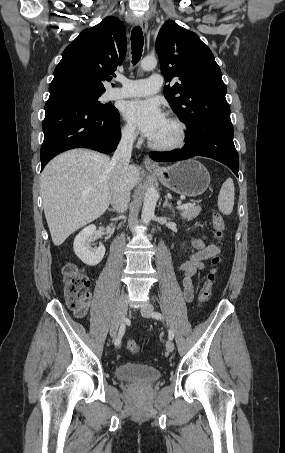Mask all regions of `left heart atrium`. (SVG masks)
<instances>
[{
  "label": "left heart atrium",
  "mask_w": 285,
  "mask_h": 453,
  "mask_svg": "<svg viewBox=\"0 0 285 453\" xmlns=\"http://www.w3.org/2000/svg\"><path fill=\"white\" fill-rule=\"evenodd\" d=\"M123 115L150 140L155 137L166 119L160 104L153 99L126 102Z\"/></svg>",
  "instance_id": "obj_1"
}]
</instances>
